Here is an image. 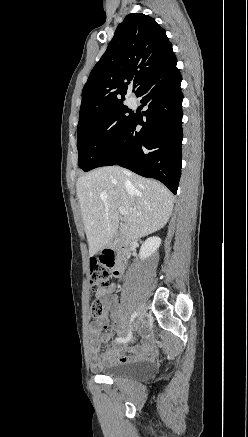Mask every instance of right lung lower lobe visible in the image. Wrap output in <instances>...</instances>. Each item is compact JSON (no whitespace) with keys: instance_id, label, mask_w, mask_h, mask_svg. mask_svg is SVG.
Listing matches in <instances>:
<instances>
[{"instance_id":"98d812e1","label":"right lung lower lobe","mask_w":248,"mask_h":437,"mask_svg":"<svg viewBox=\"0 0 248 437\" xmlns=\"http://www.w3.org/2000/svg\"><path fill=\"white\" fill-rule=\"evenodd\" d=\"M175 55L135 94L142 116L133 115L126 128L93 169L118 164L141 176L155 178L176 194L181 176V74ZM142 125L140 131L136 126Z\"/></svg>"}]
</instances>
